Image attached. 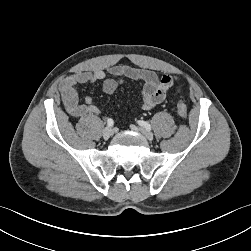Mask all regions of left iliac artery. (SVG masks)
<instances>
[{"label":"left iliac artery","mask_w":251,"mask_h":251,"mask_svg":"<svg viewBox=\"0 0 251 251\" xmlns=\"http://www.w3.org/2000/svg\"><path fill=\"white\" fill-rule=\"evenodd\" d=\"M138 124L144 127L146 130H149V131L151 130V125L146 121L138 120Z\"/></svg>","instance_id":"44dca946"}]
</instances>
